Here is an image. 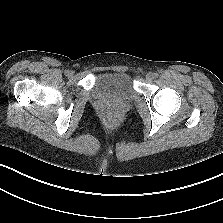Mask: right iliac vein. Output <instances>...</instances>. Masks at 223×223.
Returning <instances> with one entry per match:
<instances>
[{
  "label": "right iliac vein",
  "mask_w": 223,
  "mask_h": 223,
  "mask_svg": "<svg viewBox=\"0 0 223 223\" xmlns=\"http://www.w3.org/2000/svg\"><path fill=\"white\" fill-rule=\"evenodd\" d=\"M72 75H73V72L70 71V72L68 73V76H72Z\"/></svg>",
  "instance_id": "right-iliac-vein-1"
}]
</instances>
